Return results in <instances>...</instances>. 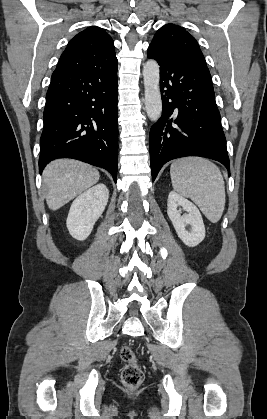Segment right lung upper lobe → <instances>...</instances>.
<instances>
[{"label": "right lung upper lobe", "mask_w": 267, "mask_h": 419, "mask_svg": "<svg viewBox=\"0 0 267 419\" xmlns=\"http://www.w3.org/2000/svg\"><path fill=\"white\" fill-rule=\"evenodd\" d=\"M117 62L113 40L103 29L91 26L70 40L56 70H88Z\"/></svg>", "instance_id": "cb5924a9"}]
</instances>
